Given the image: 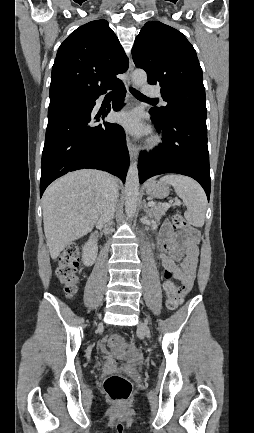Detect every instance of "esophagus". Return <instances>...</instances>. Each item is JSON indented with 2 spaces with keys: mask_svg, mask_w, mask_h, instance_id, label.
Instances as JSON below:
<instances>
[{
  "mask_svg": "<svg viewBox=\"0 0 254 433\" xmlns=\"http://www.w3.org/2000/svg\"><path fill=\"white\" fill-rule=\"evenodd\" d=\"M133 70H134V64H133L132 60H130L129 68H128L127 73H126V75H127V83H126L127 88L134 86L133 80H132ZM127 147H128V151H129L131 159H135L137 156V153H138V148L131 141V139L129 137H127Z\"/></svg>",
  "mask_w": 254,
  "mask_h": 433,
  "instance_id": "obj_1",
  "label": "esophagus"
}]
</instances>
